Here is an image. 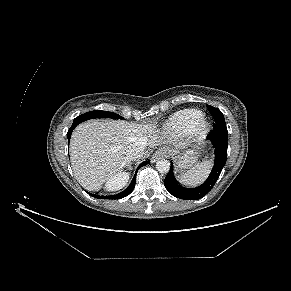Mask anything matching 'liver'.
Returning <instances> with one entry per match:
<instances>
[{
  "label": "liver",
  "instance_id": "liver-1",
  "mask_svg": "<svg viewBox=\"0 0 291 291\" xmlns=\"http://www.w3.org/2000/svg\"><path fill=\"white\" fill-rule=\"evenodd\" d=\"M161 143V135L150 124L91 120L78 125L71 136V166L84 189L98 191L130 164L128 150L132 146L152 148Z\"/></svg>",
  "mask_w": 291,
  "mask_h": 291
}]
</instances>
